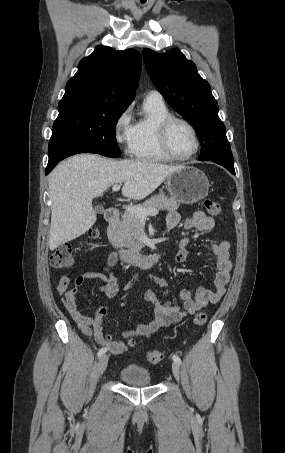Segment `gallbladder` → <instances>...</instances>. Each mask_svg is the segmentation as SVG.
I'll return each instance as SVG.
<instances>
[{"label":"gallbladder","mask_w":285,"mask_h":453,"mask_svg":"<svg viewBox=\"0 0 285 453\" xmlns=\"http://www.w3.org/2000/svg\"><path fill=\"white\" fill-rule=\"evenodd\" d=\"M95 211H96L98 214H101V213H103L104 208H103V206L98 205V206L95 207Z\"/></svg>","instance_id":"1"}]
</instances>
